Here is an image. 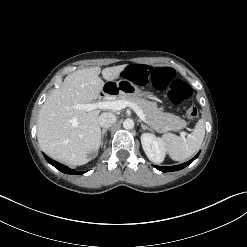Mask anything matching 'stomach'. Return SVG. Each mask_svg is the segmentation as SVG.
<instances>
[{
    "label": "stomach",
    "instance_id": "0dacf381",
    "mask_svg": "<svg viewBox=\"0 0 247 247\" xmlns=\"http://www.w3.org/2000/svg\"><path fill=\"white\" fill-rule=\"evenodd\" d=\"M126 82L127 84H125L124 81H119L117 83V86L120 87V94H125L129 96H137V97L145 96L146 98H149V99L154 98L153 93L143 92L134 83L130 81H126Z\"/></svg>",
    "mask_w": 247,
    "mask_h": 247
}]
</instances>
